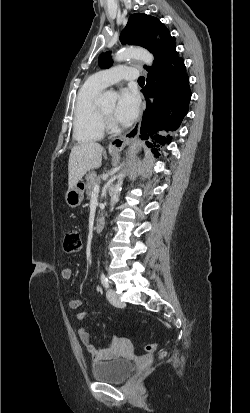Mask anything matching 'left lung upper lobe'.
Segmentation results:
<instances>
[{"mask_svg": "<svg viewBox=\"0 0 250 413\" xmlns=\"http://www.w3.org/2000/svg\"><path fill=\"white\" fill-rule=\"evenodd\" d=\"M120 41L122 44L142 46L152 53L167 43L175 45V38L171 37L164 24L157 18L142 13L130 16L120 35ZM98 64L101 68H109L112 65L110 52L102 53ZM145 68L149 67L145 66Z\"/></svg>", "mask_w": 250, "mask_h": 413, "instance_id": "5c2ea615", "label": "left lung upper lobe"}]
</instances>
